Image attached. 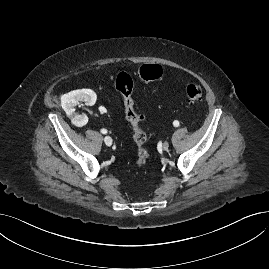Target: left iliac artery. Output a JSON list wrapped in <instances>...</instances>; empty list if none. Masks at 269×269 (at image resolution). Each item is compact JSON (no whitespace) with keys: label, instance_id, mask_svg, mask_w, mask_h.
I'll return each instance as SVG.
<instances>
[{"label":"left iliac artery","instance_id":"44dca946","mask_svg":"<svg viewBox=\"0 0 269 269\" xmlns=\"http://www.w3.org/2000/svg\"><path fill=\"white\" fill-rule=\"evenodd\" d=\"M173 125H174L175 127H178V126H179V121H178V120H175V121L173 122Z\"/></svg>","mask_w":269,"mask_h":269}]
</instances>
